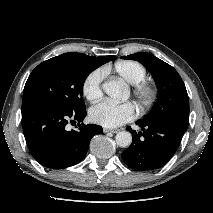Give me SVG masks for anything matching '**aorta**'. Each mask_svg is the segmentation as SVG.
Listing matches in <instances>:
<instances>
[{"label": "aorta", "instance_id": "1", "mask_svg": "<svg viewBox=\"0 0 213 213\" xmlns=\"http://www.w3.org/2000/svg\"><path fill=\"white\" fill-rule=\"evenodd\" d=\"M104 92L113 99H120L125 94V89L118 81H108L102 85ZM116 143L120 147H128L132 143V135L127 131H121L116 134Z\"/></svg>", "mask_w": 213, "mask_h": 213}]
</instances>
